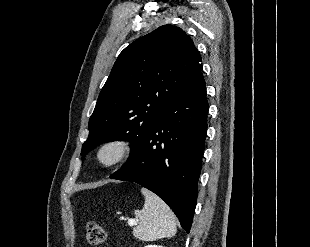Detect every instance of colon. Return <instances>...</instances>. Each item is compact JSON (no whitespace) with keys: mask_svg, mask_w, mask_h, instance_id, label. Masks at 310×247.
<instances>
[{"mask_svg":"<svg viewBox=\"0 0 310 247\" xmlns=\"http://www.w3.org/2000/svg\"><path fill=\"white\" fill-rule=\"evenodd\" d=\"M86 239L92 245L102 246L106 242V233L100 224L92 221L87 224Z\"/></svg>","mask_w":310,"mask_h":247,"instance_id":"5ec220e1","label":"colon"}]
</instances>
